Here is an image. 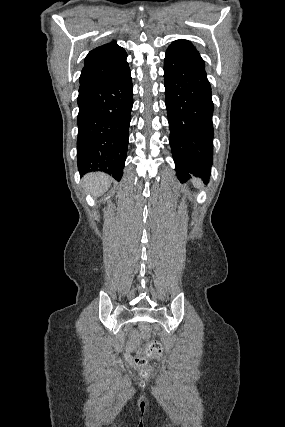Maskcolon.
Segmentation results:
<instances>
[{"instance_id": "5ec220e1", "label": "colon", "mask_w": 285, "mask_h": 427, "mask_svg": "<svg viewBox=\"0 0 285 427\" xmlns=\"http://www.w3.org/2000/svg\"><path fill=\"white\" fill-rule=\"evenodd\" d=\"M142 332L148 333V326H142ZM136 337V336H135ZM163 353L162 344L159 341L149 342L143 349V354L136 353L133 356V365L139 371L142 377H147L151 373V366L148 364V358L159 357Z\"/></svg>"}]
</instances>
